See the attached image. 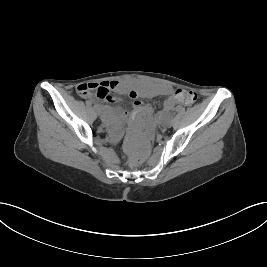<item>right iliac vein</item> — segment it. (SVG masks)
Returning <instances> with one entry per match:
<instances>
[{"label": "right iliac vein", "instance_id": "63e3f726", "mask_svg": "<svg viewBox=\"0 0 267 267\" xmlns=\"http://www.w3.org/2000/svg\"><path fill=\"white\" fill-rule=\"evenodd\" d=\"M100 113H101V112H100V110L98 109V110H97V114L100 115Z\"/></svg>", "mask_w": 267, "mask_h": 267}]
</instances>
